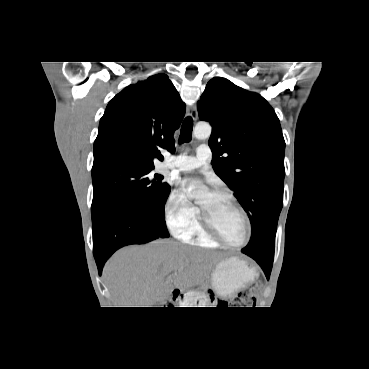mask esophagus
Listing matches in <instances>:
<instances>
[{
    "label": "esophagus",
    "instance_id": "34e87169",
    "mask_svg": "<svg viewBox=\"0 0 369 369\" xmlns=\"http://www.w3.org/2000/svg\"><path fill=\"white\" fill-rule=\"evenodd\" d=\"M187 113L188 115L194 120L196 121L197 120V116H198V112H197V106L196 104L194 105H191L188 107L187 109Z\"/></svg>",
    "mask_w": 369,
    "mask_h": 369
}]
</instances>
